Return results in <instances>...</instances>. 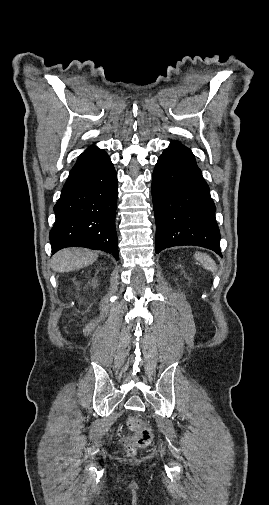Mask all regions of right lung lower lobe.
<instances>
[{
	"label": "right lung lower lobe",
	"instance_id": "obj_1",
	"mask_svg": "<svg viewBox=\"0 0 269 505\" xmlns=\"http://www.w3.org/2000/svg\"><path fill=\"white\" fill-rule=\"evenodd\" d=\"M117 175L103 149L83 152L54 206L50 231L52 253L65 247H86L111 253L118 260L115 230Z\"/></svg>",
	"mask_w": 269,
	"mask_h": 505
}]
</instances>
